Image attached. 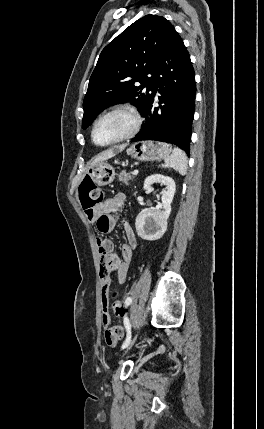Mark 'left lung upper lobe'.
I'll use <instances>...</instances> for the list:
<instances>
[{
	"label": "left lung upper lobe",
	"instance_id": "5c2ea615",
	"mask_svg": "<svg viewBox=\"0 0 264 429\" xmlns=\"http://www.w3.org/2000/svg\"><path fill=\"white\" fill-rule=\"evenodd\" d=\"M173 28L164 17L146 15L102 50L83 102V129L105 108L118 102L130 100L142 113L151 97L155 68Z\"/></svg>",
	"mask_w": 264,
	"mask_h": 429
}]
</instances>
